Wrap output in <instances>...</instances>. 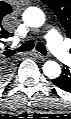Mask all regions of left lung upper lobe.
<instances>
[{
    "mask_svg": "<svg viewBox=\"0 0 71 119\" xmlns=\"http://www.w3.org/2000/svg\"><path fill=\"white\" fill-rule=\"evenodd\" d=\"M59 18L63 27L70 34L71 28V0H42Z\"/></svg>",
    "mask_w": 71,
    "mask_h": 119,
    "instance_id": "1",
    "label": "left lung upper lobe"
}]
</instances>
